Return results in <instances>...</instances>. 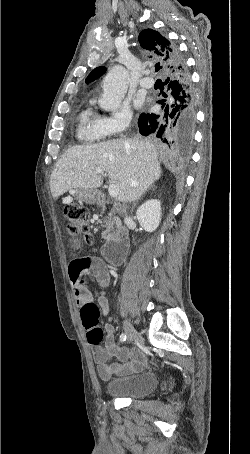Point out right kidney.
I'll return each mask as SVG.
<instances>
[{"label":"right kidney","mask_w":250,"mask_h":454,"mask_svg":"<svg viewBox=\"0 0 250 454\" xmlns=\"http://www.w3.org/2000/svg\"><path fill=\"white\" fill-rule=\"evenodd\" d=\"M161 214V202L156 199H150L139 206L136 217L145 231L153 232L159 226Z\"/></svg>","instance_id":"right-kidney-1"}]
</instances>
